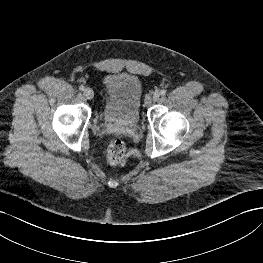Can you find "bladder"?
<instances>
[{"label": "bladder", "instance_id": "31cf9c89", "mask_svg": "<svg viewBox=\"0 0 263 263\" xmlns=\"http://www.w3.org/2000/svg\"><path fill=\"white\" fill-rule=\"evenodd\" d=\"M105 122L136 127L140 122L142 83L131 74H109L102 80Z\"/></svg>", "mask_w": 263, "mask_h": 263}]
</instances>
